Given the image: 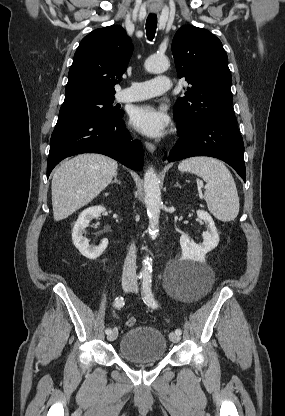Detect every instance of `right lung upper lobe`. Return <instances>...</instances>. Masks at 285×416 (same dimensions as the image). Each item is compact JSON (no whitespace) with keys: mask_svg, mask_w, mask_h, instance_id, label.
<instances>
[{"mask_svg":"<svg viewBox=\"0 0 285 416\" xmlns=\"http://www.w3.org/2000/svg\"><path fill=\"white\" fill-rule=\"evenodd\" d=\"M125 30L112 25L92 31L77 48L68 73L65 99L114 97L133 52Z\"/></svg>","mask_w":285,"mask_h":416,"instance_id":"obj_1","label":"right lung upper lobe"}]
</instances>
